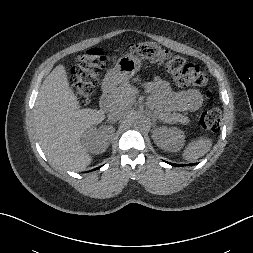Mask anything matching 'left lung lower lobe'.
Returning <instances> with one entry per match:
<instances>
[{
  "label": "left lung lower lobe",
  "instance_id": "obj_1",
  "mask_svg": "<svg viewBox=\"0 0 253 253\" xmlns=\"http://www.w3.org/2000/svg\"><path fill=\"white\" fill-rule=\"evenodd\" d=\"M169 164H171L172 166H183L181 164H174V163H169ZM189 165H193V164H189Z\"/></svg>",
  "mask_w": 253,
  "mask_h": 253
}]
</instances>
